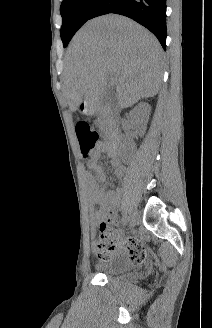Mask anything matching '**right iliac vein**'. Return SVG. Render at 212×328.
Returning a JSON list of instances; mask_svg holds the SVG:
<instances>
[{
    "label": "right iliac vein",
    "instance_id": "1",
    "mask_svg": "<svg viewBox=\"0 0 212 328\" xmlns=\"http://www.w3.org/2000/svg\"><path fill=\"white\" fill-rule=\"evenodd\" d=\"M137 221L136 213L133 212L130 215V227H134Z\"/></svg>",
    "mask_w": 212,
    "mask_h": 328
}]
</instances>
